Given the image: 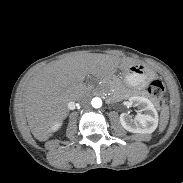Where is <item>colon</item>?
Masks as SVG:
<instances>
[{"instance_id": "obj_1", "label": "colon", "mask_w": 183, "mask_h": 183, "mask_svg": "<svg viewBox=\"0 0 183 183\" xmlns=\"http://www.w3.org/2000/svg\"><path fill=\"white\" fill-rule=\"evenodd\" d=\"M148 91L153 98L161 100L164 95V86L160 81L154 80L150 83Z\"/></svg>"}]
</instances>
